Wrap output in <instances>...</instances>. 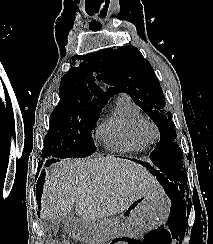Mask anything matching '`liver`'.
I'll return each mask as SVG.
<instances>
[{"instance_id": "1", "label": "liver", "mask_w": 213, "mask_h": 244, "mask_svg": "<svg viewBox=\"0 0 213 244\" xmlns=\"http://www.w3.org/2000/svg\"><path fill=\"white\" fill-rule=\"evenodd\" d=\"M158 192L154 176L134 161L115 157L61 160L45 178L41 216L46 220L66 217L75 206L82 221L102 230L105 225L97 221Z\"/></svg>"}]
</instances>
